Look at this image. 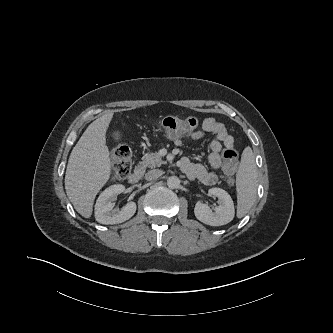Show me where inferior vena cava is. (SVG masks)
<instances>
[{
	"instance_id": "inferior-vena-cava-1",
	"label": "inferior vena cava",
	"mask_w": 333,
	"mask_h": 333,
	"mask_svg": "<svg viewBox=\"0 0 333 333\" xmlns=\"http://www.w3.org/2000/svg\"><path fill=\"white\" fill-rule=\"evenodd\" d=\"M162 174H163L162 170L153 169V170L148 171L145 174V179L148 181L155 180V179L159 178Z\"/></svg>"
}]
</instances>
